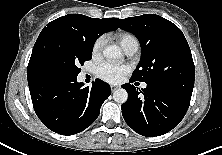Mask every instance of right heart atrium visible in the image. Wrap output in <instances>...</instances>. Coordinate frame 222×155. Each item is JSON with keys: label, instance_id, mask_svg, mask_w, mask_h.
Instances as JSON below:
<instances>
[{"label": "right heart atrium", "instance_id": "d8ad5b80", "mask_svg": "<svg viewBox=\"0 0 222 155\" xmlns=\"http://www.w3.org/2000/svg\"><path fill=\"white\" fill-rule=\"evenodd\" d=\"M105 44V38L103 36L97 38L92 46V55L94 58H98L102 52Z\"/></svg>", "mask_w": 222, "mask_h": 155}]
</instances>
